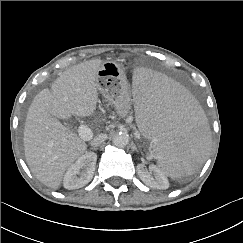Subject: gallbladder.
Listing matches in <instances>:
<instances>
[{
    "label": "gallbladder",
    "mask_w": 243,
    "mask_h": 243,
    "mask_svg": "<svg viewBox=\"0 0 243 243\" xmlns=\"http://www.w3.org/2000/svg\"><path fill=\"white\" fill-rule=\"evenodd\" d=\"M64 124H65L67 127H70V124H69V123H66V122H65Z\"/></svg>",
    "instance_id": "obj_1"
}]
</instances>
